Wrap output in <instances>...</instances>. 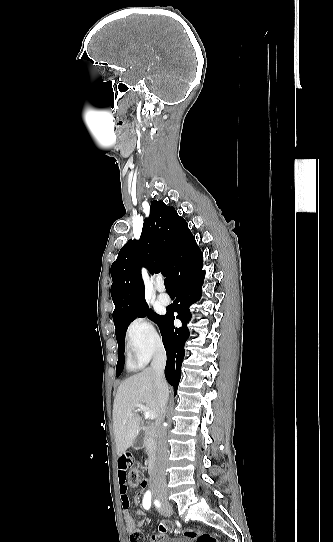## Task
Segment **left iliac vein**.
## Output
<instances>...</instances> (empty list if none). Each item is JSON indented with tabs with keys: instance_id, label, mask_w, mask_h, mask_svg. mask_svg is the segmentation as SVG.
Returning a JSON list of instances; mask_svg holds the SVG:
<instances>
[{
	"instance_id": "1",
	"label": "left iliac vein",
	"mask_w": 333,
	"mask_h": 542,
	"mask_svg": "<svg viewBox=\"0 0 333 542\" xmlns=\"http://www.w3.org/2000/svg\"><path fill=\"white\" fill-rule=\"evenodd\" d=\"M166 501H167V500H165V502H166ZM172 511H173V509H172L170 503H166V505L163 507V509L160 510L161 514H162L163 516H166V517H167V516H171V515H172Z\"/></svg>"
}]
</instances>
